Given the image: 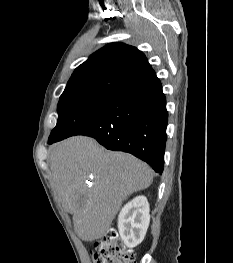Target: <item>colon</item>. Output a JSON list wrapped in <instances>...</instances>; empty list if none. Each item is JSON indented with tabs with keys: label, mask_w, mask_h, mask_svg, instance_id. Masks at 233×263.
I'll list each match as a JSON object with an SVG mask.
<instances>
[{
	"label": "colon",
	"mask_w": 233,
	"mask_h": 263,
	"mask_svg": "<svg viewBox=\"0 0 233 263\" xmlns=\"http://www.w3.org/2000/svg\"><path fill=\"white\" fill-rule=\"evenodd\" d=\"M93 253L95 263H136L134 250L126 247L113 230L95 242Z\"/></svg>",
	"instance_id": "5ec220e1"
}]
</instances>
